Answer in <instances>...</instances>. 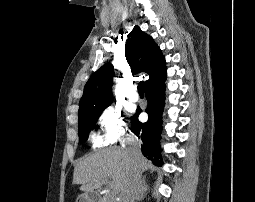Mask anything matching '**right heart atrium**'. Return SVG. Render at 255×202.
Wrapping results in <instances>:
<instances>
[{"label": "right heart atrium", "instance_id": "1", "mask_svg": "<svg viewBox=\"0 0 255 202\" xmlns=\"http://www.w3.org/2000/svg\"><path fill=\"white\" fill-rule=\"evenodd\" d=\"M101 134L98 143L110 145L121 141L128 132V128L121 110L114 106L106 107L98 117Z\"/></svg>", "mask_w": 255, "mask_h": 202}]
</instances>
